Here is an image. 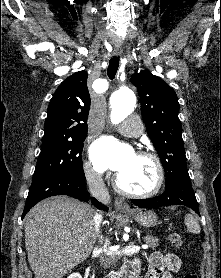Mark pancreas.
Wrapping results in <instances>:
<instances>
[{
  "mask_svg": "<svg viewBox=\"0 0 221 278\" xmlns=\"http://www.w3.org/2000/svg\"><path fill=\"white\" fill-rule=\"evenodd\" d=\"M145 241L148 244L149 248L156 249L158 247V239L151 235L145 237Z\"/></svg>",
  "mask_w": 221,
  "mask_h": 278,
  "instance_id": "cf45deb5",
  "label": "pancreas"
}]
</instances>
